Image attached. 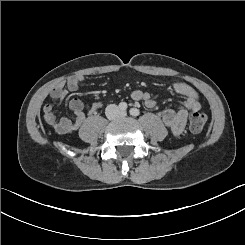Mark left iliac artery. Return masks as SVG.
Listing matches in <instances>:
<instances>
[{
  "label": "left iliac artery",
  "mask_w": 245,
  "mask_h": 245,
  "mask_svg": "<svg viewBox=\"0 0 245 245\" xmlns=\"http://www.w3.org/2000/svg\"><path fill=\"white\" fill-rule=\"evenodd\" d=\"M129 113H130V115H132V116H138L139 114H140V111H139V109H137V108H131L130 110H129Z\"/></svg>",
  "instance_id": "1"
}]
</instances>
